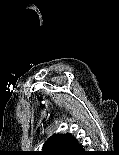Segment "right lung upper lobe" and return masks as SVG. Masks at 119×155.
<instances>
[{"label": "right lung upper lobe", "mask_w": 119, "mask_h": 155, "mask_svg": "<svg viewBox=\"0 0 119 155\" xmlns=\"http://www.w3.org/2000/svg\"><path fill=\"white\" fill-rule=\"evenodd\" d=\"M76 143H78L77 139L70 133L55 134L45 142L43 150L39 151L38 155H65Z\"/></svg>", "instance_id": "1"}]
</instances>
